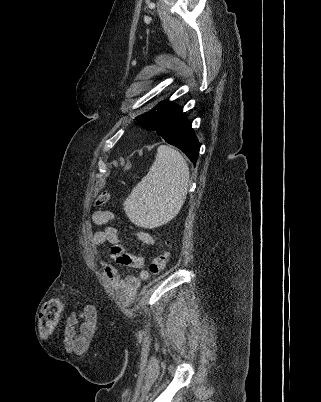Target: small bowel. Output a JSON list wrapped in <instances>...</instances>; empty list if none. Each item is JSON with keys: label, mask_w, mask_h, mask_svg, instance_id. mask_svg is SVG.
<instances>
[{"label": "small bowel", "mask_w": 321, "mask_h": 402, "mask_svg": "<svg viewBox=\"0 0 321 402\" xmlns=\"http://www.w3.org/2000/svg\"><path fill=\"white\" fill-rule=\"evenodd\" d=\"M92 223L96 226H104L102 231H98L93 236V244L96 248L105 245H111L109 257L119 265L128 266L137 270L136 275H123L117 267L110 261L103 262L104 273L114 288L119 301L123 305H130L136 298L137 292L142 282L149 279V273L146 269L147 259L140 254H132L125 251L121 244L118 229L110 223L113 221V214L107 210H97L92 213ZM137 239L145 245H153V236L140 230L136 234ZM95 305L93 302H84L82 307L77 308L76 314L66 315L64 326L65 343L73 351L76 358L86 353L89 344L88 339L92 337V329L97 326ZM81 318L80 326H78ZM78 327V328H77ZM72 329H77L76 333ZM80 337V338H78Z\"/></svg>", "instance_id": "small-bowel-1"}]
</instances>
